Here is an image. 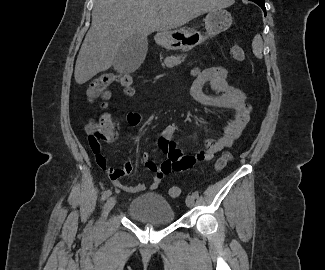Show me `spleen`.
<instances>
[{
	"instance_id": "obj_1",
	"label": "spleen",
	"mask_w": 325,
	"mask_h": 270,
	"mask_svg": "<svg viewBox=\"0 0 325 270\" xmlns=\"http://www.w3.org/2000/svg\"><path fill=\"white\" fill-rule=\"evenodd\" d=\"M252 50L257 58H262L263 40L259 34H257L252 41Z\"/></svg>"
}]
</instances>
